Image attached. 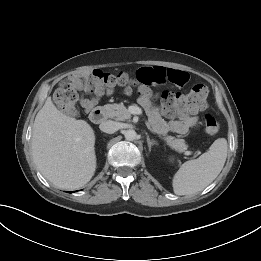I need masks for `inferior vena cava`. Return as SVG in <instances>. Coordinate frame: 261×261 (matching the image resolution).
<instances>
[{
  "label": "inferior vena cava",
  "mask_w": 261,
  "mask_h": 261,
  "mask_svg": "<svg viewBox=\"0 0 261 261\" xmlns=\"http://www.w3.org/2000/svg\"><path fill=\"white\" fill-rule=\"evenodd\" d=\"M99 128L101 131L108 133V134H112L114 132H116L117 130H119L120 125L118 122L112 121V120H107L105 122H102L99 125Z\"/></svg>",
  "instance_id": "obj_1"
}]
</instances>
